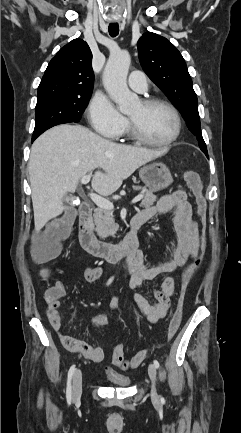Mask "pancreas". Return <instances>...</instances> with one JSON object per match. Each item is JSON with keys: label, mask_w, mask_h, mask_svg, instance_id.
Wrapping results in <instances>:
<instances>
[{"label": "pancreas", "mask_w": 241, "mask_h": 433, "mask_svg": "<svg viewBox=\"0 0 241 433\" xmlns=\"http://www.w3.org/2000/svg\"><path fill=\"white\" fill-rule=\"evenodd\" d=\"M141 193L143 198L140 207H150L156 202L157 196L151 191L143 189ZM118 228L119 226L115 223L114 215L111 210H106L100 207L95 209L93 215V229L97 232L100 238L104 239L108 236H114Z\"/></svg>", "instance_id": "cf45deb5"}]
</instances>
